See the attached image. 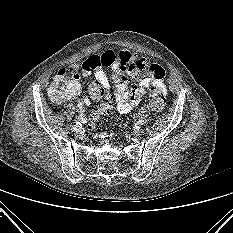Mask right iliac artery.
I'll use <instances>...</instances> for the list:
<instances>
[{"instance_id": "1", "label": "right iliac artery", "mask_w": 233, "mask_h": 233, "mask_svg": "<svg viewBox=\"0 0 233 233\" xmlns=\"http://www.w3.org/2000/svg\"><path fill=\"white\" fill-rule=\"evenodd\" d=\"M83 114H81L80 116H82ZM82 128V124L81 122H77L73 127H72V131L73 132H77L79 129Z\"/></svg>"}]
</instances>
